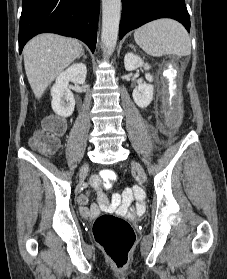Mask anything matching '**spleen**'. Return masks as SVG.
I'll return each instance as SVG.
<instances>
[{
    "label": "spleen",
    "instance_id": "spleen-1",
    "mask_svg": "<svg viewBox=\"0 0 227 279\" xmlns=\"http://www.w3.org/2000/svg\"><path fill=\"white\" fill-rule=\"evenodd\" d=\"M134 39L147 54L154 57L168 54L186 56L191 53L187 31L171 19H159L138 28Z\"/></svg>",
    "mask_w": 227,
    "mask_h": 279
}]
</instances>
